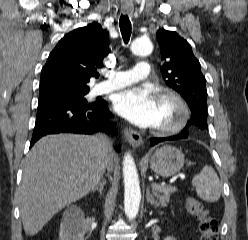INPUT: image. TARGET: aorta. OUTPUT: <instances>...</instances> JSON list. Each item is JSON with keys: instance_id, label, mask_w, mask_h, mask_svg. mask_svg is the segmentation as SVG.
<instances>
[{"instance_id": "762f6f07", "label": "aorta", "mask_w": 248, "mask_h": 240, "mask_svg": "<svg viewBox=\"0 0 248 240\" xmlns=\"http://www.w3.org/2000/svg\"><path fill=\"white\" fill-rule=\"evenodd\" d=\"M130 49L134 55L147 56L151 54L153 45L149 39L139 38L132 42ZM123 178L125 214L129 219H134L138 215L141 191L135 162L130 153L123 159Z\"/></svg>"}]
</instances>
